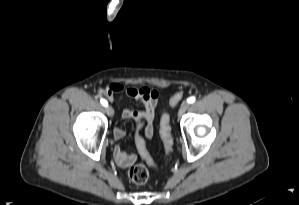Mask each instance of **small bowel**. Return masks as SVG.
Returning a JSON list of instances; mask_svg holds the SVG:
<instances>
[{
  "mask_svg": "<svg viewBox=\"0 0 299 205\" xmlns=\"http://www.w3.org/2000/svg\"><path fill=\"white\" fill-rule=\"evenodd\" d=\"M108 89L110 90L109 99L112 100V95L114 93L123 91L124 88L119 83H112ZM125 92L129 97L135 99L138 102L140 110L135 111L126 108L122 112L123 118L133 120L143 118L146 123L145 136L147 138H150L152 135L151 123L155 116L159 98L158 91L150 89L148 87H129L125 90ZM125 135L126 131L123 128L118 127L114 130V137L117 140L122 139ZM114 158L116 163L122 168H128L132 166L136 161V156L133 153L126 152L119 146L114 149Z\"/></svg>",
  "mask_w": 299,
  "mask_h": 205,
  "instance_id": "1",
  "label": "small bowel"
}]
</instances>
